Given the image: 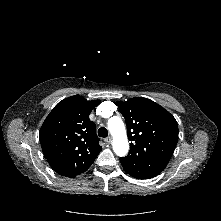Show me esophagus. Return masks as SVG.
<instances>
[{"label":"esophagus","mask_w":221,"mask_h":221,"mask_svg":"<svg viewBox=\"0 0 221 221\" xmlns=\"http://www.w3.org/2000/svg\"><path fill=\"white\" fill-rule=\"evenodd\" d=\"M104 141L106 142V144H111L112 143V138L108 137Z\"/></svg>","instance_id":"obj_1"}]
</instances>
